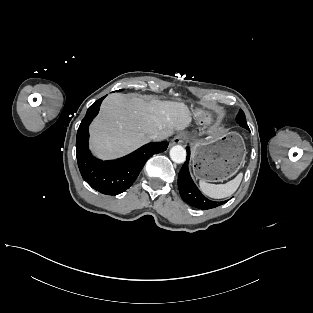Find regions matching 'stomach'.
<instances>
[{"mask_svg":"<svg viewBox=\"0 0 313 313\" xmlns=\"http://www.w3.org/2000/svg\"><path fill=\"white\" fill-rule=\"evenodd\" d=\"M197 124L203 126L200 134L204 139L193 138L192 162L197 178L203 181L222 182L232 177L244 163L246 148L243 138L237 133H224L210 126L212 118L202 108L193 109Z\"/></svg>","mask_w":313,"mask_h":313,"instance_id":"obj_1","label":"stomach"}]
</instances>
